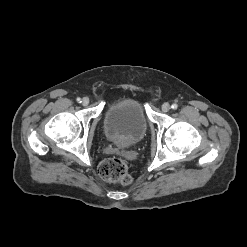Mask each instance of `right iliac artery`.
I'll list each match as a JSON object with an SVG mask.
<instances>
[{
  "instance_id": "obj_1",
  "label": "right iliac artery",
  "mask_w": 247,
  "mask_h": 247,
  "mask_svg": "<svg viewBox=\"0 0 247 247\" xmlns=\"http://www.w3.org/2000/svg\"><path fill=\"white\" fill-rule=\"evenodd\" d=\"M77 102L78 103H81V98H77Z\"/></svg>"
}]
</instances>
